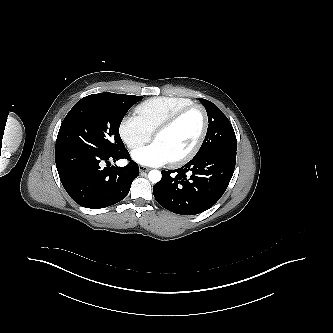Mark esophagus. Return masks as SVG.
Wrapping results in <instances>:
<instances>
[{"instance_id": "obj_1", "label": "esophagus", "mask_w": 333, "mask_h": 333, "mask_svg": "<svg viewBox=\"0 0 333 333\" xmlns=\"http://www.w3.org/2000/svg\"><path fill=\"white\" fill-rule=\"evenodd\" d=\"M150 169L149 168H147V167H145V166H139V171L141 172V173H143V172H148Z\"/></svg>"}]
</instances>
